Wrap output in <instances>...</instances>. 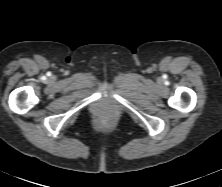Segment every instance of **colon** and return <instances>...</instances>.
Here are the masks:
<instances>
[{"mask_svg": "<svg viewBox=\"0 0 222 187\" xmlns=\"http://www.w3.org/2000/svg\"><path fill=\"white\" fill-rule=\"evenodd\" d=\"M102 123L106 124L107 122L103 121Z\"/></svg>", "mask_w": 222, "mask_h": 187, "instance_id": "colon-1", "label": "colon"}]
</instances>
